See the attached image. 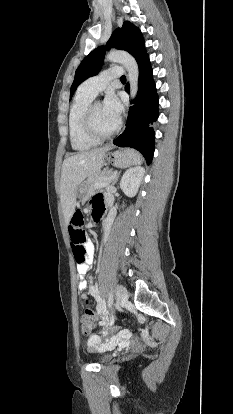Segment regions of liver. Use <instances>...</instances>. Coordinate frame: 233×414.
Segmentation results:
<instances>
[{
  "label": "liver",
  "mask_w": 233,
  "mask_h": 414,
  "mask_svg": "<svg viewBox=\"0 0 233 414\" xmlns=\"http://www.w3.org/2000/svg\"><path fill=\"white\" fill-rule=\"evenodd\" d=\"M109 149V146L95 148L74 154L64 160L60 180V199L66 223H69L75 211L79 185L85 178L100 171Z\"/></svg>",
  "instance_id": "6515ba94"
}]
</instances>
